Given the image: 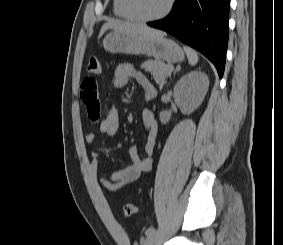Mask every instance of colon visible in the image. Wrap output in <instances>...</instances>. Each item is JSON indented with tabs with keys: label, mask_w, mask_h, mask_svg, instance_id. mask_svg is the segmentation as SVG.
Instances as JSON below:
<instances>
[{
	"label": "colon",
	"mask_w": 283,
	"mask_h": 245,
	"mask_svg": "<svg viewBox=\"0 0 283 245\" xmlns=\"http://www.w3.org/2000/svg\"><path fill=\"white\" fill-rule=\"evenodd\" d=\"M87 71L89 74L95 76L100 73V63L96 57H91L87 64ZM123 211L126 216L130 217L137 212L136 205L132 203H125L123 205Z\"/></svg>",
	"instance_id": "1"
}]
</instances>
